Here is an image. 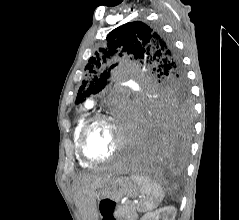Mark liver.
<instances>
[{
  "instance_id": "1",
  "label": "liver",
  "mask_w": 239,
  "mask_h": 220,
  "mask_svg": "<svg viewBox=\"0 0 239 220\" xmlns=\"http://www.w3.org/2000/svg\"><path fill=\"white\" fill-rule=\"evenodd\" d=\"M111 177V174H87L79 177L74 183L75 203L83 214L84 220H91L95 216L96 190L106 185Z\"/></svg>"
}]
</instances>
